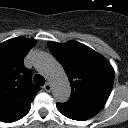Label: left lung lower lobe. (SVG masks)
Wrapping results in <instances>:
<instances>
[{
  "label": "left lung lower lobe",
  "mask_w": 128,
  "mask_h": 128,
  "mask_svg": "<svg viewBox=\"0 0 128 128\" xmlns=\"http://www.w3.org/2000/svg\"><path fill=\"white\" fill-rule=\"evenodd\" d=\"M57 109L64 116L78 121L87 120L95 116L102 107L90 104H79L73 102H67L64 104H57Z\"/></svg>",
  "instance_id": "0a47b994"
}]
</instances>
